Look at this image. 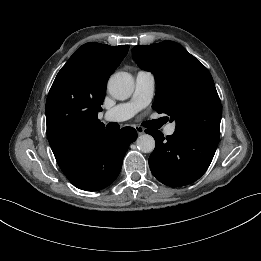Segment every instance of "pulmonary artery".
<instances>
[{
	"label": "pulmonary artery",
	"mask_w": 261,
	"mask_h": 261,
	"mask_svg": "<svg viewBox=\"0 0 261 261\" xmlns=\"http://www.w3.org/2000/svg\"><path fill=\"white\" fill-rule=\"evenodd\" d=\"M154 89V75L148 71H139L136 74L135 89L131 99L106 111L104 119L111 122H122L130 119L150 103L153 98ZM174 132L175 123L167 125L165 134L172 135Z\"/></svg>",
	"instance_id": "1"
}]
</instances>
